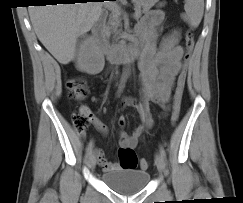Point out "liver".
Instances as JSON below:
<instances>
[{
	"mask_svg": "<svg viewBox=\"0 0 243 203\" xmlns=\"http://www.w3.org/2000/svg\"><path fill=\"white\" fill-rule=\"evenodd\" d=\"M102 2L31 6L30 20L45 48L61 64L74 59L77 39L87 33L102 13Z\"/></svg>",
	"mask_w": 243,
	"mask_h": 203,
	"instance_id": "6515ba94",
	"label": "liver"
}]
</instances>
